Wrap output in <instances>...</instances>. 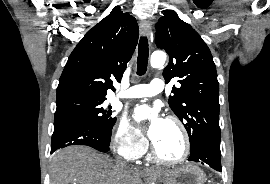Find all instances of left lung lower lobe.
I'll list each match as a JSON object with an SVG mask.
<instances>
[{
	"label": "left lung lower lobe",
	"mask_w": 270,
	"mask_h": 184,
	"mask_svg": "<svg viewBox=\"0 0 270 184\" xmlns=\"http://www.w3.org/2000/svg\"><path fill=\"white\" fill-rule=\"evenodd\" d=\"M189 161L200 162L221 172L220 140L202 139L190 152Z\"/></svg>",
	"instance_id": "left-lung-lower-lobe-1"
}]
</instances>
